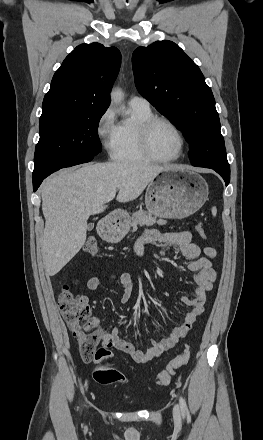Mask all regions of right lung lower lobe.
Returning a JSON list of instances; mask_svg holds the SVG:
<instances>
[{
    "instance_id": "1",
    "label": "right lung lower lobe",
    "mask_w": 263,
    "mask_h": 440,
    "mask_svg": "<svg viewBox=\"0 0 263 440\" xmlns=\"http://www.w3.org/2000/svg\"><path fill=\"white\" fill-rule=\"evenodd\" d=\"M94 156H95V155L87 154L86 157H85V159H84V162H83V163L91 161V160L93 159ZM46 177H47V176H43V177H41V178H38V179L33 180V190H34V191H36V190L38 189V187L40 186V184L42 183V181H43Z\"/></svg>"
}]
</instances>
